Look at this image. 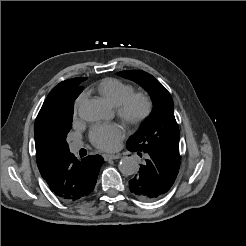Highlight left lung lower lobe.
Wrapping results in <instances>:
<instances>
[{
	"mask_svg": "<svg viewBox=\"0 0 246 246\" xmlns=\"http://www.w3.org/2000/svg\"><path fill=\"white\" fill-rule=\"evenodd\" d=\"M144 153L146 162L141 165L138 174L129 181V188L140 199L153 200L171 188L179 171L180 160L155 150Z\"/></svg>",
	"mask_w": 246,
	"mask_h": 246,
	"instance_id": "obj_1",
	"label": "left lung lower lobe"
}]
</instances>
